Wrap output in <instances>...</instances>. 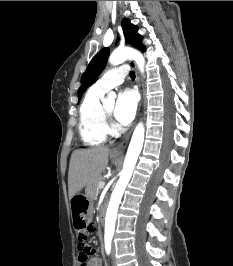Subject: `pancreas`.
I'll list each match as a JSON object with an SVG mask.
<instances>
[{"label":"pancreas","mask_w":233,"mask_h":266,"mask_svg":"<svg viewBox=\"0 0 233 266\" xmlns=\"http://www.w3.org/2000/svg\"><path fill=\"white\" fill-rule=\"evenodd\" d=\"M102 179L99 177L98 179L94 180L91 184H89L86 187V194L88 195V197H90L91 199H96L98 197V194L100 192L99 187H98V183L101 181Z\"/></svg>","instance_id":"cf45deb5"}]
</instances>
